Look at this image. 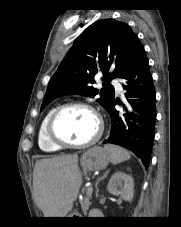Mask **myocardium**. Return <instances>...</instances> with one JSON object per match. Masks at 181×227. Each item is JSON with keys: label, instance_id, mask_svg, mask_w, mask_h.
<instances>
[{"label": "myocardium", "instance_id": "obj_1", "mask_svg": "<svg viewBox=\"0 0 181 227\" xmlns=\"http://www.w3.org/2000/svg\"><path fill=\"white\" fill-rule=\"evenodd\" d=\"M73 107H79V108H83V109L90 111L93 114V116L95 117L96 122H97V131H96L95 135L90 140L83 142V143H70V142L60 138L56 134V131H55V123H56L58 116L65 109L73 108ZM103 131H104V123H103V119H102L101 115L99 114V112L92 105L82 102V101L68 102V103L62 104V105L58 106L57 108H55L48 120V124H47V128H46L48 138L55 145H57L61 148H75V149H83V148L91 147L92 145H94L95 143H97L99 141V139L101 138V136L103 134Z\"/></svg>", "mask_w": 181, "mask_h": 227}]
</instances>
